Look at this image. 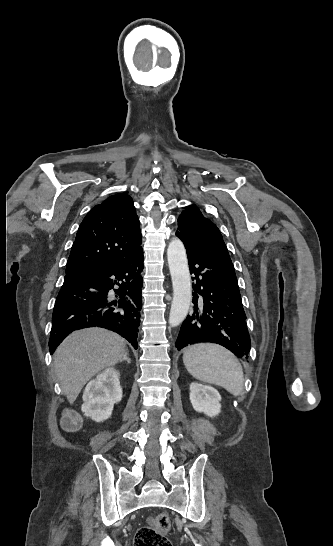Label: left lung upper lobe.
I'll return each instance as SVG.
<instances>
[{"label": "left lung upper lobe", "instance_id": "left-lung-upper-lobe-1", "mask_svg": "<svg viewBox=\"0 0 333 546\" xmlns=\"http://www.w3.org/2000/svg\"><path fill=\"white\" fill-rule=\"evenodd\" d=\"M178 229L202 248L230 258L219 229L196 206L185 207L178 218Z\"/></svg>", "mask_w": 333, "mask_h": 546}]
</instances>
